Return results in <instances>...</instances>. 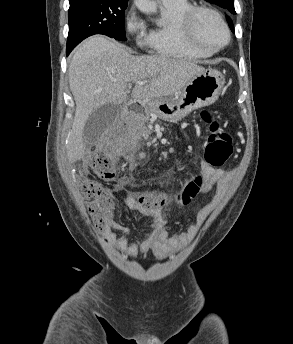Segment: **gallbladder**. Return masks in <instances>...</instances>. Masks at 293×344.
I'll use <instances>...</instances> for the list:
<instances>
[{"mask_svg": "<svg viewBox=\"0 0 293 344\" xmlns=\"http://www.w3.org/2000/svg\"><path fill=\"white\" fill-rule=\"evenodd\" d=\"M119 113V105L104 104L88 117L84 130L83 140L86 145L97 143L103 133L114 123Z\"/></svg>", "mask_w": 293, "mask_h": 344, "instance_id": "bac80fb5", "label": "gallbladder"}]
</instances>
